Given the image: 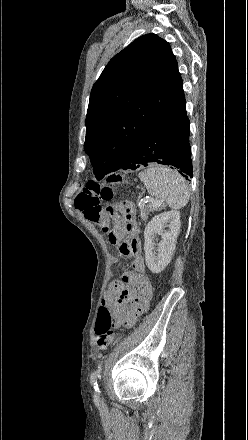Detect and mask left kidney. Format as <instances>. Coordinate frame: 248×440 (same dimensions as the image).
<instances>
[{
    "label": "left kidney",
    "mask_w": 248,
    "mask_h": 440,
    "mask_svg": "<svg viewBox=\"0 0 248 440\" xmlns=\"http://www.w3.org/2000/svg\"><path fill=\"white\" fill-rule=\"evenodd\" d=\"M180 211H167L152 218L144 230L145 262L152 273H160L171 262L175 252L177 237L181 227ZM169 227L165 231V227ZM161 235V241L157 244L155 252L154 239Z\"/></svg>",
    "instance_id": "1"
}]
</instances>
